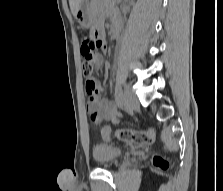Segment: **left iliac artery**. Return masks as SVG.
<instances>
[{"label": "left iliac artery", "instance_id": "left-iliac-artery-1", "mask_svg": "<svg viewBox=\"0 0 223 191\" xmlns=\"http://www.w3.org/2000/svg\"><path fill=\"white\" fill-rule=\"evenodd\" d=\"M121 95H122L121 88L119 87V85H116V99H117V102H118V104H119L120 106L122 105V98H121Z\"/></svg>", "mask_w": 223, "mask_h": 191}]
</instances>
